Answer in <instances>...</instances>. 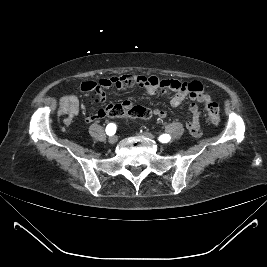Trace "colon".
<instances>
[{
    "mask_svg": "<svg viewBox=\"0 0 267 267\" xmlns=\"http://www.w3.org/2000/svg\"><path fill=\"white\" fill-rule=\"evenodd\" d=\"M205 112L208 120L212 124H218L220 122V108L218 103L209 101L205 105ZM111 117L128 116L131 118L147 119L151 116V111L148 108L142 106H131L127 109L121 107H115L109 113Z\"/></svg>",
    "mask_w": 267,
    "mask_h": 267,
    "instance_id": "1",
    "label": "colon"
}]
</instances>
